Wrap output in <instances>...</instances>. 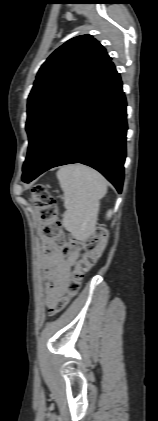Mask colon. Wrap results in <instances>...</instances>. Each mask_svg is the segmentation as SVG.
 Here are the masks:
<instances>
[{
	"label": "colon",
	"mask_w": 158,
	"mask_h": 421,
	"mask_svg": "<svg viewBox=\"0 0 158 421\" xmlns=\"http://www.w3.org/2000/svg\"><path fill=\"white\" fill-rule=\"evenodd\" d=\"M32 197L39 208L40 219L43 223V235L61 249L63 257L71 255L72 245L78 243L84 249V254L75 266L66 284V293L51 309L52 314L61 312L80 290L82 279L99 260L107 246L108 234L104 228H94L81 239L69 238L63 230L59 216V208L55 198L43 185L32 189Z\"/></svg>",
	"instance_id": "5ec220e1"
}]
</instances>
